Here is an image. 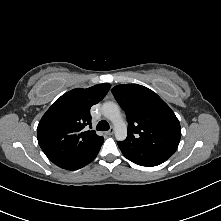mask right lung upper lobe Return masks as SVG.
Segmentation results:
<instances>
[{
  "label": "right lung upper lobe",
  "mask_w": 221,
  "mask_h": 221,
  "mask_svg": "<svg viewBox=\"0 0 221 221\" xmlns=\"http://www.w3.org/2000/svg\"><path fill=\"white\" fill-rule=\"evenodd\" d=\"M110 87L98 84L73 89L47 110L38 124L37 139L50 161L74 170L102 145L104 138L85 127L91 126L90 107L101 101Z\"/></svg>",
  "instance_id": "obj_1"
}]
</instances>
